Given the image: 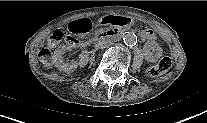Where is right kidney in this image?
<instances>
[{
	"label": "right kidney",
	"mask_w": 207,
	"mask_h": 123,
	"mask_svg": "<svg viewBox=\"0 0 207 123\" xmlns=\"http://www.w3.org/2000/svg\"><path fill=\"white\" fill-rule=\"evenodd\" d=\"M66 47L65 46H59L54 51V60L55 65L61 72L69 73L72 72L75 68V65L72 63H65V61L62 58V55L65 53Z\"/></svg>",
	"instance_id": "1"
}]
</instances>
